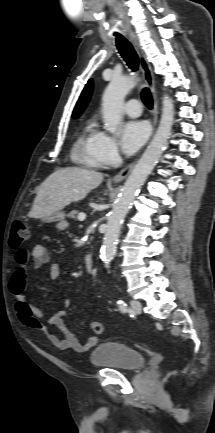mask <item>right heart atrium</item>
Instances as JSON below:
<instances>
[{
	"mask_svg": "<svg viewBox=\"0 0 215 433\" xmlns=\"http://www.w3.org/2000/svg\"><path fill=\"white\" fill-rule=\"evenodd\" d=\"M98 153L103 165L112 164L118 158L119 151L117 143L113 137L105 132H101Z\"/></svg>",
	"mask_w": 215,
	"mask_h": 433,
	"instance_id": "right-heart-atrium-1",
	"label": "right heart atrium"
}]
</instances>
